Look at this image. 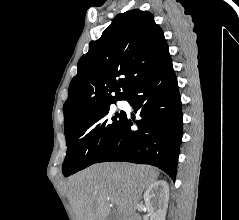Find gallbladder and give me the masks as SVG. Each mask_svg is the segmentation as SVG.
I'll return each mask as SVG.
<instances>
[{
	"instance_id": "bac80fb5",
	"label": "gallbladder",
	"mask_w": 239,
	"mask_h": 220,
	"mask_svg": "<svg viewBox=\"0 0 239 220\" xmlns=\"http://www.w3.org/2000/svg\"><path fill=\"white\" fill-rule=\"evenodd\" d=\"M107 220H117V218L115 217V215L110 214Z\"/></svg>"
}]
</instances>
